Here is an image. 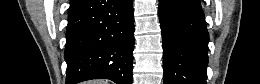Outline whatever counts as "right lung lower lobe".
Segmentation results:
<instances>
[{"instance_id": "right-lung-lower-lobe-1", "label": "right lung lower lobe", "mask_w": 260, "mask_h": 84, "mask_svg": "<svg viewBox=\"0 0 260 84\" xmlns=\"http://www.w3.org/2000/svg\"><path fill=\"white\" fill-rule=\"evenodd\" d=\"M66 40V84L101 78L132 84V0H79L70 5Z\"/></svg>"}]
</instances>
